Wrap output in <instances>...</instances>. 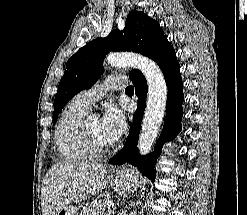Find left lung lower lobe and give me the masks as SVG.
<instances>
[{
	"mask_svg": "<svg viewBox=\"0 0 247 215\" xmlns=\"http://www.w3.org/2000/svg\"><path fill=\"white\" fill-rule=\"evenodd\" d=\"M159 65L168 86V96L166 105V119L163 130L156 142L154 152L141 156L137 150V140L139 137L141 119L144 114L147 96V82L143 74L138 71L130 79L135 86V94L138 97L137 110L133 115V123L130 124L129 136L125 146L112 159L110 164L121 165L132 164L137 167L140 173L152 182L155 180V164L160 155L165 142L172 140L181 131V118L183 116L182 102L184 101L182 90V78L180 66L176 58V53L171 44L166 41L158 49L152 58Z\"/></svg>",
	"mask_w": 247,
	"mask_h": 215,
	"instance_id": "left-lung-lower-lobe-1",
	"label": "left lung lower lobe"
}]
</instances>
